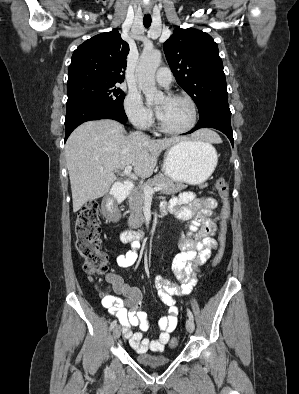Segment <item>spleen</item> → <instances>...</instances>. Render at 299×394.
<instances>
[{
  "label": "spleen",
  "mask_w": 299,
  "mask_h": 394,
  "mask_svg": "<svg viewBox=\"0 0 299 394\" xmlns=\"http://www.w3.org/2000/svg\"><path fill=\"white\" fill-rule=\"evenodd\" d=\"M208 146L212 149V151L214 150L213 146L210 143H208Z\"/></svg>",
  "instance_id": "obj_1"
}]
</instances>
